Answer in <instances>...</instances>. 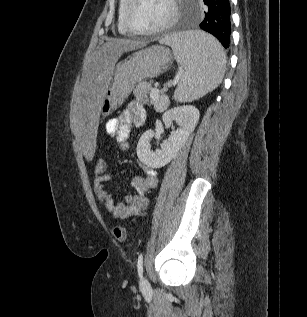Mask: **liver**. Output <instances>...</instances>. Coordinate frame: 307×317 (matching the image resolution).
Here are the masks:
<instances>
[{
	"instance_id": "obj_1",
	"label": "liver",
	"mask_w": 307,
	"mask_h": 317,
	"mask_svg": "<svg viewBox=\"0 0 307 317\" xmlns=\"http://www.w3.org/2000/svg\"><path fill=\"white\" fill-rule=\"evenodd\" d=\"M145 45V42L130 39H110L86 63L70 114L71 129L79 141L76 142V149H81V159H94L98 149L95 133L99 122L100 103L115 63L124 52Z\"/></svg>"
}]
</instances>
